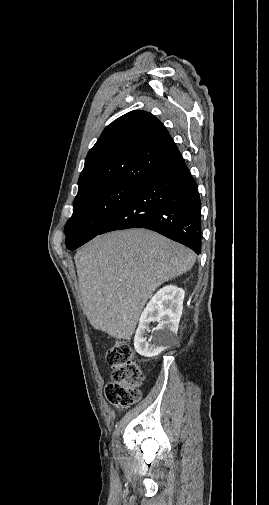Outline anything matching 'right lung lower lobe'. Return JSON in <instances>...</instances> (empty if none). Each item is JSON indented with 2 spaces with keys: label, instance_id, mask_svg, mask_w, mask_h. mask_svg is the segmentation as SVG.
Wrapping results in <instances>:
<instances>
[{
  "label": "right lung lower lobe",
  "instance_id": "1",
  "mask_svg": "<svg viewBox=\"0 0 269 505\" xmlns=\"http://www.w3.org/2000/svg\"><path fill=\"white\" fill-rule=\"evenodd\" d=\"M201 201L184 159L152 175L99 234L146 228L201 252Z\"/></svg>",
  "mask_w": 269,
  "mask_h": 505
}]
</instances>
